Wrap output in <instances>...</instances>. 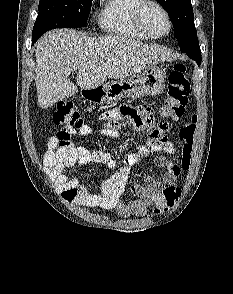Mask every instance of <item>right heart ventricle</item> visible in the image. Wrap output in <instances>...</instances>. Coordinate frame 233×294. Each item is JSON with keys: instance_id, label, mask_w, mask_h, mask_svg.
<instances>
[{"instance_id": "1", "label": "right heart ventricle", "mask_w": 233, "mask_h": 294, "mask_svg": "<svg viewBox=\"0 0 233 294\" xmlns=\"http://www.w3.org/2000/svg\"><path fill=\"white\" fill-rule=\"evenodd\" d=\"M140 0H105L98 17L101 29L110 35L133 39L149 40L136 25L134 11Z\"/></svg>"}]
</instances>
